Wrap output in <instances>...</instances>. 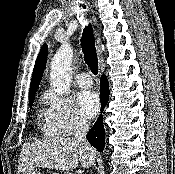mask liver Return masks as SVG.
I'll return each instance as SVG.
<instances>
[{
  "label": "liver",
  "instance_id": "1",
  "mask_svg": "<svg viewBox=\"0 0 175 174\" xmlns=\"http://www.w3.org/2000/svg\"><path fill=\"white\" fill-rule=\"evenodd\" d=\"M95 159V150L93 153L73 138H46L22 146L18 174L35 167L68 171L75 169L79 161L82 167L89 168Z\"/></svg>",
  "mask_w": 175,
  "mask_h": 174
}]
</instances>
